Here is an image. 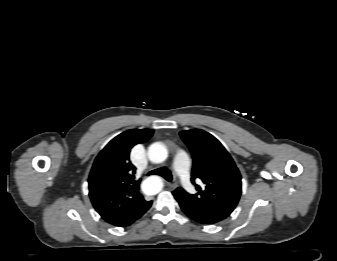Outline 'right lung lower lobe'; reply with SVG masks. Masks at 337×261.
I'll return each instance as SVG.
<instances>
[{"label": "right lung lower lobe", "mask_w": 337, "mask_h": 261, "mask_svg": "<svg viewBox=\"0 0 337 261\" xmlns=\"http://www.w3.org/2000/svg\"><path fill=\"white\" fill-rule=\"evenodd\" d=\"M151 204H152V202H150V205H149L148 209L150 208ZM148 209H147V210H148ZM147 210H146V211H147ZM132 223H133V222H132ZM132 223H129V224H126V225H122V226H128V225H130V224H132Z\"/></svg>", "instance_id": "obj_1"}]
</instances>
